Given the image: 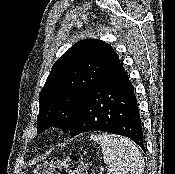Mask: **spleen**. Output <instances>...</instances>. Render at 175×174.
<instances>
[{
    "mask_svg": "<svg viewBox=\"0 0 175 174\" xmlns=\"http://www.w3.org/2000/svg\"><path fill=\"white\" fill-rule=\"evenodd\" d=\"M91 139L100 144L107 174H142L145 163L134 143L115 134H93Z\"/></svg>",
    "mask_w": 175,
    "mask_h": 174,
    "instance_id": "spleen-1",
    "label": "spleen"
}]
</instances>
